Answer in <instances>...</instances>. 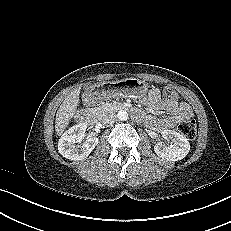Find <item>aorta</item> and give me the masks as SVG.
<instances>
[{
    "mask_svg": "<svg viewBox=\"0 0 231 231\" xmlns=\"http://www.w3.org/2000/svg\"><path fill=\"white\" fill-rule=\"evenodd\" d=\"M117 117L121 121H126L128 119V113L125 110H120L117 114Z\"/></svg>",
    "mask_w": 231,
    "mask_h": 231,
    "instance_id": "1",
    "label": "aorta"
}]
</instances>
